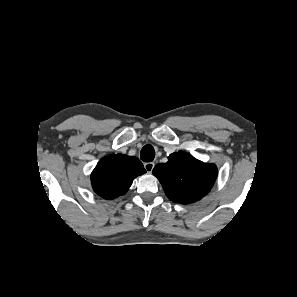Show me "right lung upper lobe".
Here are the masks:
<instances>
[{
  "label": "right lung upper lobe",
  "mask_w": 297,
  "mask_h": 297,
  "mask_svg": "<svg viewBox=\"0 0 297 297\" xmlns=\"http://www.w3.org/2000/svg\"><path fill=\"white\" fill-rule=\"evenodd\" d=\"M146 172L136 157L110 155L100 160L91 174L95 193L114 199L127 192L134 178Z\"/></svg>",
  "instance_id": "1"
}]
</instances>
